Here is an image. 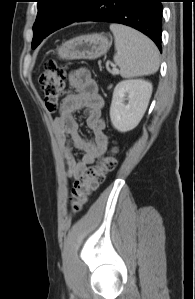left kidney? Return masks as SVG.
Returning <instances> with one entry per match:
<instances>
[{
    "label": "left kidney",
    "instance_id": "1",
    "mask_svg": "<svg viewBox=\"0 0 195 299\" xmlns=\"http://www.w3.org/2000/svg\"><path fill=\"white\" fill-rule=\"evenodd\" d=\"M152 88V84L144 79L123 80L116 85L110 107L111 123L116 130L127 132L139 124L148 107Z\"/></svg>",
    "mask_w": 195,
    "mask_h": 299
}]
</instances>
